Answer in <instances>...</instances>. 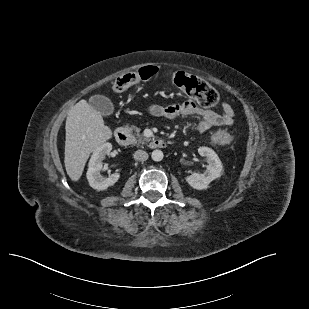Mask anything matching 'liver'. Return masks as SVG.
<instances>
[{
  "instance_id": "liver-1",
  "label": "liver",
  "mask_w": 309,
  "mask_h": 309,
  "mask_svg": "<svg viewBox=\"0 0 309 309\" xmlns=\"http://www.w3.org/2000/svg\"><path fill=\"white\" fill-rule=\"evenodd\" d=\"M65 129L66 172L72 181H78L90 154L112 137V131L86 100L69 110Z\"/></svg>"
}]
</instances>
